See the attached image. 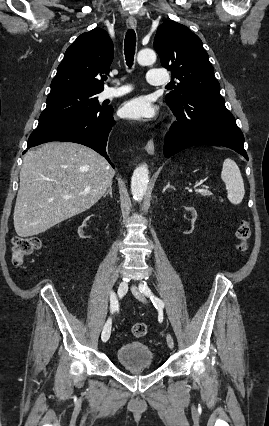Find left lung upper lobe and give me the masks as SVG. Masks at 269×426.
I'll use <instances>...</instances> for the list:
<instances>
[{"label": "left lung upper lobe", "instance_id": "obj_1", "mask_svg": "<svg viewBox=\"0 0 269 426\" xmlns=\"http://www.w3.org/2000/svg\"><path fill=\"white\" fill-rule=\"evenodd\" d=\"M154 48L164 68L179 80L175 90L167 94L166 103L175 106L199 91L220 90L202 41L186 26L165 21L156 32Z\"/></svg>", "mask_w": 269, "mask_h": 426}]
</instances>
